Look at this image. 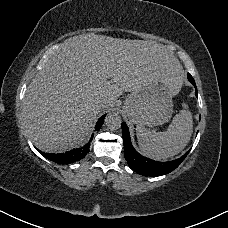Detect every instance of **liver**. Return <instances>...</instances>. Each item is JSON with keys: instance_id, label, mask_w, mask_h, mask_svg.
I'll return each instance as SVG.
<instances>
[{"instance_id": "obj_1", "label": "liver", "mask_w": 228, "mask_h": 228, "mask_svg": "<svg viewBox=\"0 0 228 228\" xmlns=\"http://www.w3.org/2000/svg\"><path fill=\"white\" fill-rule=\"evenodd\" d=\"M157 78L166 79L173 95L185 81L179 60L163 45L96 34L74 36L42 65L26 90L27 134L43 152L76 148L89 135L97 114L114 106L123 91H138Z\"/></svg>"}]
</instances>
